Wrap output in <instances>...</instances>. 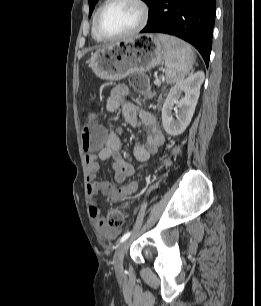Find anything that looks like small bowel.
Instances as JSON below:
<instances>
[{"instance_id": "1", "label": "small bowel", "mask_w": 261, "mask_h": 306, "mask_svg": "<svg viewBox=\"0 0 261 306\" xmlns=\"http://www.w3.org/2000/svg\"><path fill=\"white\" fill-rule=\"evenodd\" d=\"M129 90L124 85H119L109 93L105 108L108 112H114L121 107L124 120L136 127L143 125L146 130V142L144 145L136 144L133 147V156L139 162L147 161L151 155L155 154L164 143V135L160 131L155 117L145 111H138L136 105L132 102H124ZM121 138L115 131H110L106 138L104 146L97 153H89L85 156L88 173V203L90 217L99 233L106 240H113L119 234L120 230L109 226L98 207L97 196L103 194L112 202H120L128 196L135 194L138 190V183L131 181L126 185L116 188L108 180H98L99 161L113 160L112 168L114 179L118 183H123L135 172L134 167L128 163L120 153Z\"/></svg>"}]
</instances>
